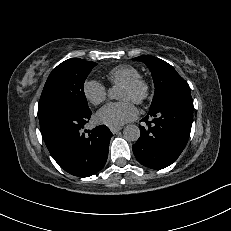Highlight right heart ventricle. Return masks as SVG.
<instances>
[{
  "instance_id": "e07e8e85",
  "label": "right heart ventricle",
  "mask_w": 231,
  "mask_h": 231,
  "mask_svg": "<svg viewBox=\"0 0 231 231\" xmlns=\"http://www.w3.org/2000/svg\"><path fill=\"white\" fill-rule=\"evenodd\" d=\"M140 77L139 71L131 65H118L107 73V79L110 83L117 85Z\"/></svg>"
}]
</instances>
